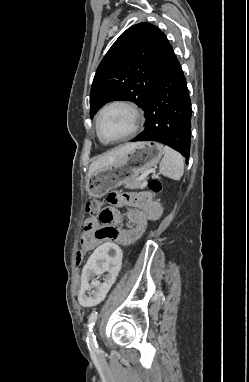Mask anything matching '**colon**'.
Returning <instances> with one entry per match:
<instances>
[{
  "mask_svg": "<svg viewBox=\"0 0 249 382\" xmlns=\"http://www.w3.org/2000/svg\"><path fill=\"white\" fill-rule=\"evenodd\" d=\"M149 187L151 190L155 192H159L161 190V183L159 181H151L149 183ZM103 203L102 201L98 199H93L87 202L86 204V211L92 215H99L103 211ZM83 251H79L77 253V262H76V267L77 268H82L83 267Z\"/></svg>",
  "mask_w": 249,
  "mask_h": 382,
  "instance_id": "obj_1",
  "label": "colon"
}]
</instances>
